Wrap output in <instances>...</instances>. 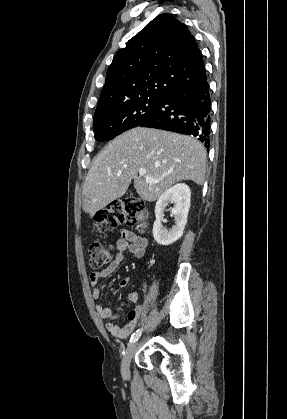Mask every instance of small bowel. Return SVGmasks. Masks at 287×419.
Segmentation results:
<instances>
[{
  "label": "small bowel",
  "instance_id": "c3829d8e",
  "mask_svg": "<svg viewBox=\"0 0 287 419\" xmlns=\"http://www.w3.org/2000/svg\"><path fill=\"white\" fill-rule=\"evenodd\" d=\"M147 246V240L144 237L137 236L134 232L128 229H124L121 232V237L116 242L117 253L115 254L114 259L109 263V265L101 271L94 272L90 275V283L92 286V297L98 299L100 297V290L98 284L101 278L107 277L112 274L120 265L124 259V252L129 251L135 257L141 258L145 253V248ZM129 284V279L124 278L119 282V287L123 288ZM140 295L138 292H132L128 295L130 302L135 303L138 301ZM146 305L141 304L135 307L128 314L127 323L120 327L115 321L118 318V314L113 312L110 308L106 307L104 304H97L96 311L99 317L104 321L106 329L108 332L119 339L127 338L135 329L136 324L145 311Z\"/></svg>",
  "mask_w": 287,
  "mask_h": 419
}]
</instances>
